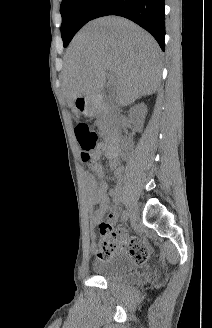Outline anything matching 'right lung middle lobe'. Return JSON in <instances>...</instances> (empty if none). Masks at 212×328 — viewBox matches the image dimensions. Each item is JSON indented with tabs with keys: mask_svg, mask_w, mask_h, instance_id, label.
Wrapping results in <instances>:
<instances>
[{
	"mask_svg": "<svg viewBox=\"0 0 212 328\" xmlns=\"http://www.w3.org/2000/svg\"><path fill=\"white\" fill-rule=\"evenodd\" d=\"M102 0H63L61 36L66 47L73 36L92 18L95 8Z\"/></svg>",
	"mask_w": 212,
	"mask_h": 328,
	"instance_id": "right-lung-middle-lobe-1",
	"label": "right lung middle lobe"
}]
</instances>
